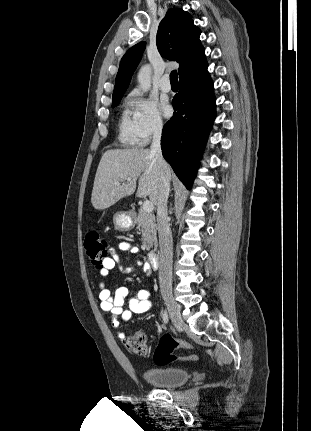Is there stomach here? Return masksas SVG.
<instances>
[{"mask_svg": "<svg viewBox=\"0 0 311 431\" xmlns=\"http://www.w3.org/2000/svg\"><path fill=\"white\" fill-rule=\"evenodd\" d=\"M114 227L118 231H129L135 227V219L129 212H117L113 216Z\"/></svg>", "mask_w": 311, "mask_h": 431, "instance_id": "0dacf381", "label": "stomach"}]
</instances>
